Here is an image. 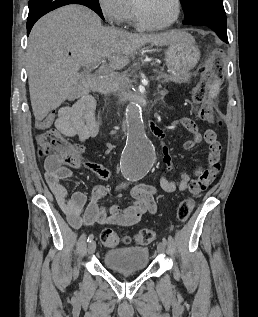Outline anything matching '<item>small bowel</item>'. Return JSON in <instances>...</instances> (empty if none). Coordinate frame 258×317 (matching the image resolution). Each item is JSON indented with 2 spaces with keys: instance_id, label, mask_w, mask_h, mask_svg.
Segmentation results:
<instances>
[{
  "instance_id": "small-bowel-1",
  "label": "small bowel",
  "mask_w": 258,
  "mask_h": 317,
  "mask_svg": "<svg viewBox=\"0 0 258 317\" xmlns=\"http://www.w3.org/2000/svg\"><path fill=\"white\" fill-rule=\"evenodd\" d=\"M177 123L192 135V138L184 143V149L192 150L202 140L206 142L209 148L207 167H198L194 179L180 168V178L169 180L168 173L175 167V164L168 148L163 146L165 171L160 177V186L164 191L170 193L186 190L199 193L213 182L220 170L221 145L213 130L208 129L202 135L196 123L190 118L181 117ZM52 125L63 135L77 137L82 142L97 136L100 121L95 99L91 95L82 96L72 106L60 108L56 113L49 114L38 123V128L45 129ZM150 127L156 136L163 138V132L155 124L152 123ZM82 164L107 182L113 179L111 171L98 163L83 160ZM45 170L47 184L58 206L66 215L69 224L76 229L95 225L132 226L138 223L146 213L155 214L157 211V190L153 186L139 184L133 187L130 190L131 201L126 207L113 205L107 210L99 204V200L108 193L107 185H96L89 200L81 191H76L68 196L67 189L61 183L71 176L67 164L56 156H49L45 160Z\"/></svg>"
}]
</instances>
